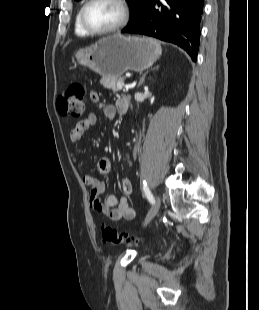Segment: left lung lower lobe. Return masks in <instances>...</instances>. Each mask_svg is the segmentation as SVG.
<instances>
[{"mask_svg":"<svg viewBox=\"0 0 259 310\" xmlns=\"http://www.w3.org/2000/svg\"><path fill=\"white\" fill-rule=\"evenodd\" d=\"M204 0H148L123 33L143 34L172 42L197 59Z\"/></svg>","mask_w":259,"mask_h":310,"instance_id":"left-lung-lower-lobe-1","label":"left lung lower lobe"}]
</instances>
